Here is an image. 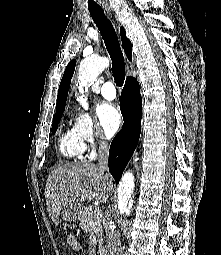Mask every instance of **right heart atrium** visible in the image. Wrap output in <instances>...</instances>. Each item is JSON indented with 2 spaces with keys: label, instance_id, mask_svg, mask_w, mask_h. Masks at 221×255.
I'll use <instances>...</instances> for the list:
<instances>
[{
  "label": "right heart atrium",
  "instance_id": "obj_1",
  "mask_svg": "<svg viewBox=\"0 0 221 255\" xmlns=\"http://www.w3.org/2000/svg\"><path fill=\"white\" fill-rule=\"evenodd\" d=\"M74 126L85 147L93 150L97 142L103 143L105 141L104 134L99 130L89 113H77Z\"/></svg>",
  "mask_w": 221,
  "mask_h": 255
}]
</instances>
